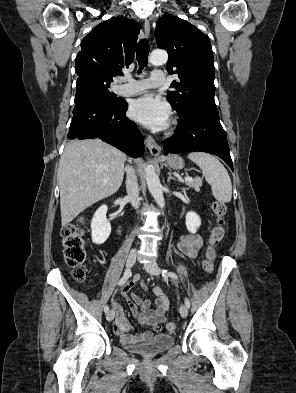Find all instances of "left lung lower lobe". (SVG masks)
Returning <instances> with one entry per match:
<instances>
[{"label": "left lung lower lobe", "instance_id": "obj_1", "mask_svg": "<svg viewBox=\"0 0 296 393\" xmlns=\"http://www.w3.org/2000/svg\"><path fill=\"white\" fill-rule=\"evenodd\" d=\"M164 154L202 151L222 158L233 170L229 146L216 107L195 108L180 120L174 136L163 142Z\"/></svg>", "mask_w": 296, "mask_h": 393}]
</instances>
